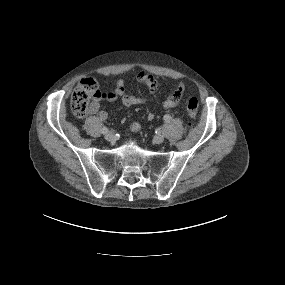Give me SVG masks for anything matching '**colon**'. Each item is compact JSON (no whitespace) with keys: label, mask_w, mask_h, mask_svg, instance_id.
<instances>
[{"label":"colon","mask_w":285,"mask_h":285,"mask_svg":"<svg viewBox=\"0 0 285 285\" xmlns=\"http://www.w3.org/2000/svg\"><path fill=\"white\" fill-rule=\"evenodd\" d=\"M97 82L93 78H85L80 81L72 93L70 107L73 115L83 118L89 111L90 105L99 94ZM198 100L190 98L187 103V114L190 121H194L198 113Z\"/></svg>","instance_id":"1"}]
</instances>
